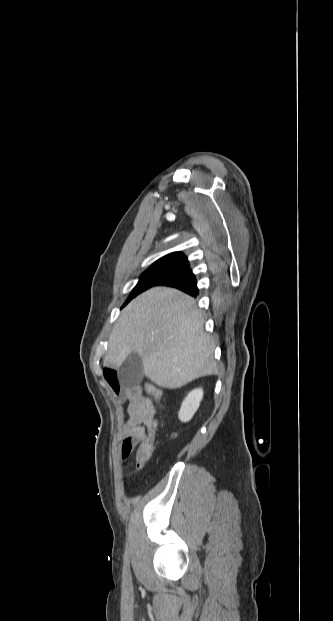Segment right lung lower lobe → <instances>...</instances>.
Segmentation results:
<instances>
[{
  "mask_svg": "<svg viewBox=\"0 0 333 621\" xmlns=\"http://www.w3.org/2000/svg\"><path fill=\"white\" fill-rule=\"evenodd\" d=\"M156 285L175 287L188 293L193 297H196L199 293L196 278L192 273L188 262H186L175 272L161 278Z\"/></svg>",
  "mask_w": 333,
  "mask_h": 621,
  "instance_id": "98d812e1",
  "label": "right lung lower lobe"
}]
</instances>
